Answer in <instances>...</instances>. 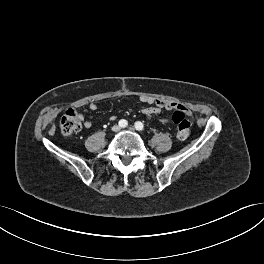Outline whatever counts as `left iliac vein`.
<instances>
[{
	"label": "left iliac vein",
	"instance_id": "1",
	"mask_svg": "<svg viewBox=\"0 0 264 264\" xmlns=\"http://www.w3.org/2000/svg\"><path fill=\"white\" fill-rule=\"evenodd\" d=\"M128 130H130V131H135V128L132 127V126H130V127H128Z\"/></svg>",
	"mask_w": 264,
	"mask_h": 264
}]
</instances>
